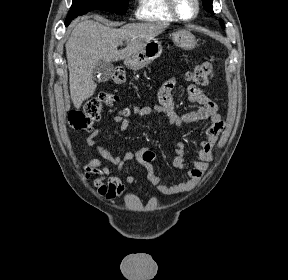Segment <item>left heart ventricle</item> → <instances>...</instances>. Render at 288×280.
<instances>
[{
    "mask_svg": "<svg viewBox=\"0 0 288 280\" xmlns=\"http://www.w3.org/2000/svg\"><path fill=\"white\" fill-rule=\"evenodd\" d=\"M177 9L181 16L188 18L195 11V4L193 0H176Z\"/></svg>",
    "mask_w": 288,
    "mask_h": 280,
    "instance_id": "1",
    "label": "left heart ventricle"
}]
</instances>
